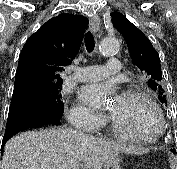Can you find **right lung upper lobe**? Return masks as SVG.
<instances>
[{
	"instance_id": "obj_1",
	"label": "right lung upper lobe",
	"mask_w": 177,
	"mask_h": 169,
	"mask_svg": "<svg viewBox=\"0 0 177 169\" xmlns=\"http://www.w3.org/2000/svg\"><path fill=\"white\" fill-rule=\"evenodd\" d=\"M86 21L83 16L62 13L31 35L19 57L15 84L20 81L62 84L60 72L77 55Z\"/></svg>"
}]
</instances>
